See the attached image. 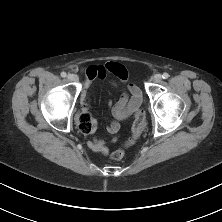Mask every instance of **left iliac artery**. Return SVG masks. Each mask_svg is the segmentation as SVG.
<instances>
[{
  "mask_svg": "<svg viewBox=\"0 0 222 222\" xmlns=\"http://www.w3.org/2000/svg\"><path fill=\"white\" fill-rule=\"evenodd\" d=\"M168 77H169V74H168V73H166V72L163 73V75H162V78H163V79H168Z\"/></svg>",
  "mask_w": 222,
  "mask_h": 222,
  "instance_id": "obj_1",
  "label": "left iliac artery"
}]
</instances>
